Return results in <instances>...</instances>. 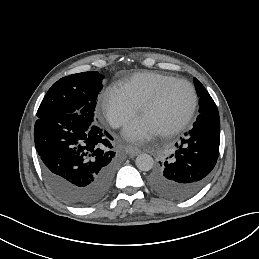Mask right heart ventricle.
Here are the masks:
<instances>
[{"instance_id":"1","label":"right heart ventricle","mask_w":259,"mask_h":259,"mask_svg":"<svg viewBox=\"0 0 259 259\" xmlns=\"http://www.w3.org/2000/svg\"><path fill=\"white\" fill-rule=\"evenodd\" d=\"M172 77L174 75L170 73L139 72L126 79L120 88L141 106L161 83Z\"/></svg>"}]
</instances>
